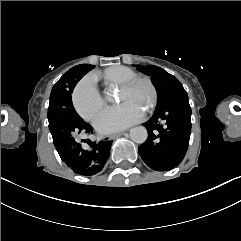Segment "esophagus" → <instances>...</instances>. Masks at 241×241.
Returning <instances> with one entry per match:
<instances>
[{
	"mask_svg": "<svg viewBox=\"0 0 241 241\" xmlns=\"http://www.w3.org/2000/svg\"><path fill=\"white\" fill-rule=\"evenodd\" d=\"M122 135H123L122 132H118V133L111 134L110 136H108V139H109V140H113V139L118 138V137H120V136H122Z\"/></svg>",
	"mask_w": 241,
	"mask_h": 241,
	"instance_id": "esophagus-1",
	"label": "esophagus"
}]
</instances>
